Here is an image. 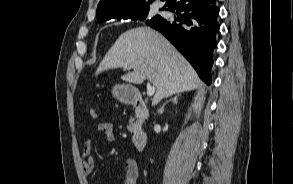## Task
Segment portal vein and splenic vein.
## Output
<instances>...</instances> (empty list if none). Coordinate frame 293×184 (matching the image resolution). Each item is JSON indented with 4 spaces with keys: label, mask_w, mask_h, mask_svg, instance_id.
Masks as SVG:
<instances>
[{
    "label": "portal vein and splenic vein",
    "mask_w": 293,
    "mask_h": 184,
    "mask_svg": "<svg viewBox=\"0 0 293 184\" xmlns=\"http://www.w3.org/2000/svg\"><path fill=\"white\" fill-rule=\"evenodd\" d=\"M125 69H129V68L125 67ZM155 91H156L155 86L154 85L152 86L150 83H147V96L151 97L152 95H154Z\"/></svg>",
    "instance_id": "obj_1"
}]
</instances>
